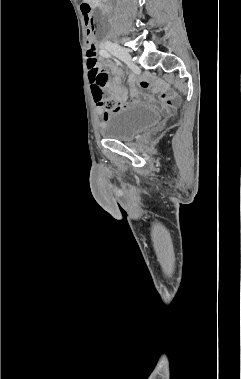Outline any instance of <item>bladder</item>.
I'll return each mask as SVG.
<instances>
[{
    "instance_id": "bladder-1",
    "label": "bladder",
    "mask_w": 241,
    "mask_h": 379,
    "mask_svg": "<svg viewBox=\"0 0 241 379\" xmlns=\"http://www.w3.org/2000/svg\"><path fill=\"white\" fill-rule=\"evenodd\" d=\"M161 113L156 109L138 106L114 112L101 124V135L108 139L128 142L156 125Z\"/></svg>"
}]
</instances>
